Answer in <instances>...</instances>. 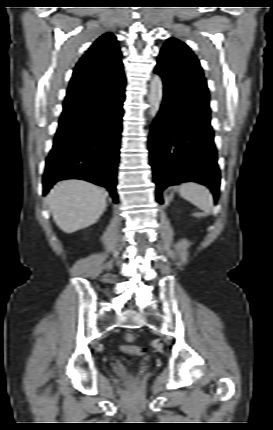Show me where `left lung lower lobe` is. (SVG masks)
I'll return each instance as SVG.
<instances>
[{
	"instance_id": "1",
	"label": "left lung lower lobe",
	"mask_w": 273,
	"mask_h": 430,
	"mask_svg": "<svg viewBox=\"0 0 273 430\" xmlns=\"http://www.w3.org/2000/svg\"><path fill=\"white\" fill-rule=\"evenodd\" d=\"M162 80V105L149 136L156 200L162 204V191L166 187L187 181L208 186L217 200L220 171L210 115L179 98L173 85Z\"/></svg>"
}]
</instances>
